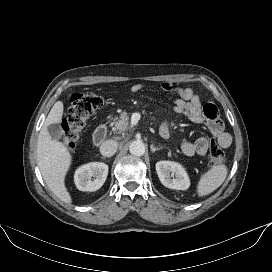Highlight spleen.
Segmentation results:
<instances>
[{
    "label": "spleen",
    "mask_w": 272,
    "mask_h": 272,
    "mask_svg": "<svg viewBox=\"0 0 272 272\" xmlns=\"http://www.w3.org/2000/svg\"><path fill=\"white\" fill-rule=\"evenodd\" d=\"M227 174L228 169L224 164H218L211 167V169L201 176L198 182V196L203 197L215 191L225 181Z\"/></svg>",
    "instance_id": "1"
}]
</instances>
